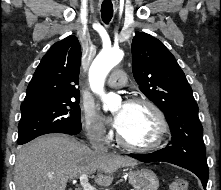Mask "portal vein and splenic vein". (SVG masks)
I'll use <instances>...</instances> for the list:
<instances>
[{"label":"portal vein and splenic vein","instance_id":"1","mask_svg":"<svg viewBox=\"0 0 221 190\" xmlns=\"http://www.w3.org/2000/svg\"><path fill=\"white\" fill-rule=\"evenodd\" d=\"M80 185L82 186L83 190H97L95 187L89 184L88 176L86 174L80 175Z\"/></svg>","mask_w":221,"mask_h":190}]
</instances>
